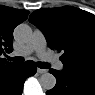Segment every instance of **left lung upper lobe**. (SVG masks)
I'll return each instance as SVG.
<instances>
[{"label": "left lung upper lobe", "mask_w": 95, "mask_h": 95, "mask_svg": "<svg viewBox=\"0 0 95 95\" xmlns=\"http://www.w3.org/2000/svg\"><path fill=\"white\" fill-rule=\"evenodd\" d=\"M29 21L42 30L50 48L63 51V67L95 75V16L64 6L34 11Z\"/></svg>", "instance_id": "left-lung-upper-lobe-1"}]
</instances>
